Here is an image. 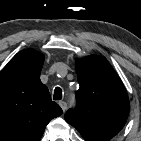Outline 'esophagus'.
<instances>
[{
	"instance_id": "esophagus-1",
	"label": "esophagus",
	"mask_w": 141,
	"mask_h": 141,
	"mask_svg": "<svg viewBox=\"0 0 141 141\" xmlns=\"http://www.w3.org/2000/svg\"><path fill=\"white\" fill-rule=\"evenodd\" d=\"M59 105L62 108L63 112H65L67 109V103L65 101H60Z\"/></svg>"
}]
</instances>
